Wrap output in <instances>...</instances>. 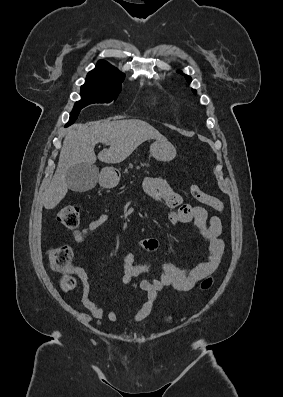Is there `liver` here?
I'll list each match as a JSON object with an SVG mask.
<instances>
[{"label": "liver", "instance_id": "obj_1", "mask_svg": "<svg viewBox=\"0 0 283 397\" xmlns=\"http://www.w3.org/2000/svg\"><path fill=\"white\" fill-rule=\"evenodd\" d=\"M148 139L164 140L165 137L139 119L94 122L90 126L74 124L64 138L57 170L44 198V207L53 209L65 197L68 191L65 174L71 166L81 163L93 165L97 158L107 164L120 163ZM99 142L110 147L96 156L94 147Z\"/></svg>", "mask_w": 283, "mask_h": 397}]
</instances>
